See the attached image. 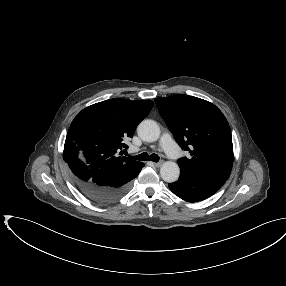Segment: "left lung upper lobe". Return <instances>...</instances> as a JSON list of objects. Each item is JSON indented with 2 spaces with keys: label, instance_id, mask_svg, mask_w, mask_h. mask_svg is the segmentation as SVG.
I'll list each match as a JSON object with an SVG mask.
<instances>
[{
  "label": "left lung upper lobe",
  "instance_id": "1",
  "mask_svg": "<svg viewBox=\"0 0 286 286\" xmlns=\"http://www.w3.org/2000/svg\"><path fill=\"white\" fill-rule=\"evenodd\" d=\"M160 115L180 147L190 153L178 160L180 170L223 185L233 165L229 124L212 103L188 95L156 98Z\"/></svg>",
  "mask_w": 286,
  "mask_h": 286
}]
</instances>
